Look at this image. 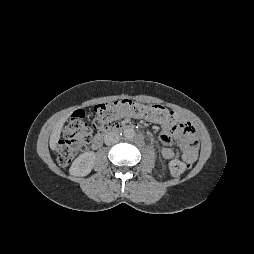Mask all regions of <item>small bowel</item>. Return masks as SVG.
I'll return each instance as SVG.
<instances>
[{"instance_id":"1","label":"small bowel","mask_w":254,"mask_h":254,"mask_svg":"<svg viewBox=\"0 0 254 254\" xmlns=\"http://www.w3.org/2000/svg\"><path fill=\"white\" fill-rule=\"evenodd\" d=\"M161 126L160 139L165 144L161 155L166 160L176 157V152L166 144L176 140L185 162L192 164L197 159L198 139L193 125L183 116L172 112L168 120L155 121Z\"/></svg>"}]
</instances>
